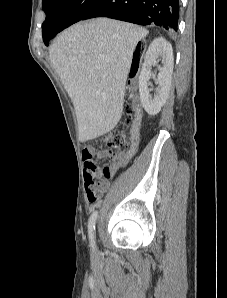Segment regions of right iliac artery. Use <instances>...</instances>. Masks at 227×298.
<instances>
[{"label": "right iliac artery", "instance_id": "right-iliac-artery-1", "mask_svg": "<svg viewBox=\"0 0 227 298\" xmlns=\"http://www.w3.org/2000/svg\"><path fill=\"white\" fill-rule=\"evenodd\" d=\"M98 212L94 211L89 218L88 222V232H89V239L91 243V247L95 249V240H94V231H95V223L97 220Z\"/></svg>", "mask_w": 227, "mask_h": 298}]
</instances>
